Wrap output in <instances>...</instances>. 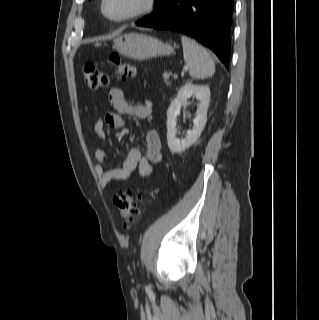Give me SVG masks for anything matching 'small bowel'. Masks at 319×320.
Here are the masks:
<instances>
[{
	"label": "small bowel",
	"instance_id": "1",
	"mask_svg": "<svg viewBox=\"0 0 319 320\" xmlns=\"http://www.w3.org/2000/svg\"><path fill=\"white\" fill-rule=\"evenodd\" d=\"M109 102L115 109L108 112L104 120H98L94 124V133L101 140L108 139V128L119 129L125 124L124 117L131 116L137 119H146L152 113L150 102L144 104H130L126 101L124 92L119 87H113L109 92ZM94 171L99 185L106 188L114 181H125L135 170L141 177H149L153 171V165L161 160V140L155 130H149L146 134V149L144 152L137 148L128 151L125 159L118 167L103 168V164L112 161L111 154L103 149L93 152Z\"/></svg>",
	"mask_w": 319,
	"mask_h": 320
}]
</instances>
